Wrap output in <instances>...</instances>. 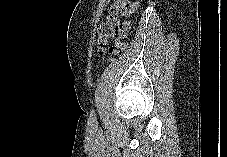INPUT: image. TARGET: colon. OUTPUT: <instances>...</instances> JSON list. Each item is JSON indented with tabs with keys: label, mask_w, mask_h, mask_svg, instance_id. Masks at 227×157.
Segmentation results:
<instances>
[{
	"label": "colon",
	"mask_w": 227,
	"mask_h": 157,
	"mask_svg": "<svg viewBox=\"0 0 227 157\" xmlns=\"http://www.w3.org/2000/svg\"><path fill=\"white\" fill-rule=\"evenodd\" d=\"M127 5L128 0H116L114 5L111 7L106 20L99 25L96 45L100 53H104L108 49L109 40L117 37L122 30V26L119 24V19L124 13ZM124 48L125 44L119 43L112 53L117 55L118 52Z\"/></svg>",
	"instance_id": "obj_1"
}]
</instances>
